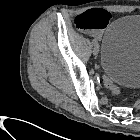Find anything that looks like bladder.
Instances as JSON below:
<instances>
[{
	"label": "bladder",
	"mask_w": 140,
	"mask_h": 140,
	"mask_svg": "<svg viewBox=\"0 0 140 140\" xmlns=\"http://www.w3.org/2000/svg\"><path fill=\"white\" fill-rule=\"evenodd\" d=\"M100 62L107 76L118 85L140 87V14L124 16L107 28Z\"/></svg>",
	"instance_id": "bladder-1"
}]
</instances>
